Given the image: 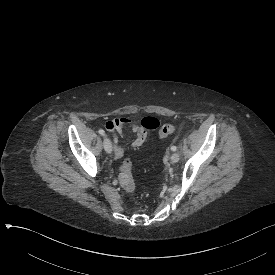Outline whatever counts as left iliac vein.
<instances>
[{"label":"left iliac vein","instance_id":"left-iliac-vein-1","mask_svg":"<svg viewBox=\"0 0 275 275\" xmlns=\"http://www.w3.org/2000/svg\"><path fill=\"white\" fill-rule=\"evenodd\" d=\"M179 154L177 152H174L172 155H171V162L172 163H177L179 161Z\"/></svg>","mask_w":275,"mask_h":275}]
</instances>
